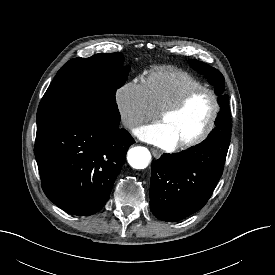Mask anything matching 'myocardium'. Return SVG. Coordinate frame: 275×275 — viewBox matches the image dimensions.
Here are the masks:
<instances>
[{"label":"myocardium","instance_id":"obj_1","mask_svg":"<svg viewBox=\"0 0 275 275\" xmlns=\"http://www.w3.org/2000/svg\"><path fill=\"white\" fill-rule=\"evenodd\" d=\"M199 93H208L211 96L212 101H213L212 113H211L210 118H209L206 126L204 127V129L194 138L189 139L187 141L177 143L176 148H178V149H188V148L194 147V146L202 143L209 136V134L212 132V130L215 127V124H216V121H217V118H218V115L220 112V103H219L218 94L213 89L205 87V86L193 88V89L187 91L186 93H184L175 102H173L172 104H170V105L166 106L165 108H163L162 110H160L158 113V118L160 120L163 119L167 115L176 113L179 110H181L191 98H193L195 95H197Z\"/></svg>","mask_w":275,"mask_h":275}]
</instances>
